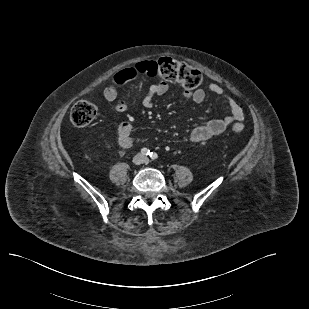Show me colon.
<instances>
[{
  "label": "colon",
  "mask_w": 309,
  "mask_h": 309,
  "mask_svg": "<svg viewBox=\"0 0 309 309\" xmlns=\"http://www.w3.org/2000/svg\"><path fill=\"white\" fill-rule=\"evenodd\" d=\"M156 69L157 75L162 79L177 83L186 90L197 88L202 81L201 73L194 67L185 62L170 57H163L157 61H151ZM97 109L94 104L89 101H78L73 105L70 111V120L77 127H85L89 125L96 117ZM234 132H242L244 125L236 122L233 124Z\"/></svg>",
  "instance_id": "5ec220e1"
}]
</instances>
